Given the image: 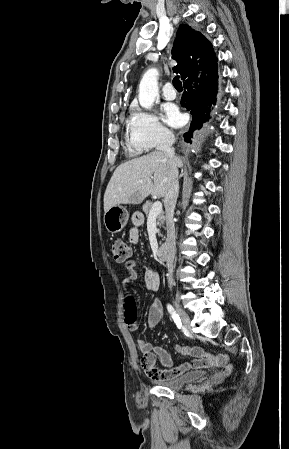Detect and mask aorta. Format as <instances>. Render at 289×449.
Returning a JSON list of instances; mask_svg holds the SVG:
<instances>
[{"mask_svg": "<svg viewBox=\"0 0 289 449\" xmlns=\"http://www.w3.org/2000/svg\"><path fill=\"white\" fill-rule=\"evenodd\" d=\"M158 70L148 69L139 85V103L145 109H150L158 95Z\"/></svg>", "mask_w": 289, "mask_h": 449, "instance_id": "762f6f07", "label": "aorta"}]
</instances>
